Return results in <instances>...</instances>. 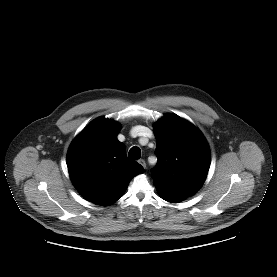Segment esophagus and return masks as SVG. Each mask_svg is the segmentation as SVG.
<instances>
[{
  "label": "esophagus",
  "instance_id": "obj_1",
  "mask_svg": "<svg viewBox=\"0 0 277 277\" xmlns=\"http://www.w3.org/2000/svg\"><path fill=\"white\" fill-rule=\"evenodd\" d=\"M138 162L143 166V168H146V163L143 159H139Z\"/></svg>",
  "mask_w": 277,
  "mask_h": 277
}]
</instances>
